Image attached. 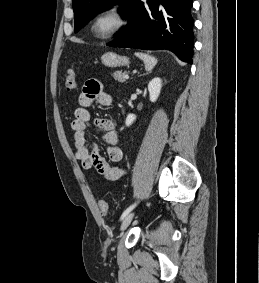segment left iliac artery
Instances as JSON below:
<instances>
[{
	"label": "left iliac artery",
	"instance_id": "left-iliac-artery-1",
	"mask_svg": "<svg viewBox=\"0 0 259 283\" xmlns=\"http://www.w3.org/2000/svg\"><path fill=\"white\" fill-rule=\"evenodd\" d=\"M137 205V203H134V204H132L131 206H129L124 212H123V214H122V216H121V220L122 219H124L125 217H126V215H128L134 208H135V206Z\"/></svg>",
	"mask_w": 259,
	"mask_h": 283
}]
</instances>
